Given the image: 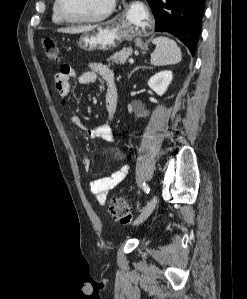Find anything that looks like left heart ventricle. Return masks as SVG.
Listing matches in <instances>:
<instances>
[{"mask_svg": "<svg viewBox=\"0 0 247 299\" xmlns=\"http://www.w3.org/2000/svg\"><path fill=\"white\" fill-rule=\"evenodd\" d=\"M111 0H64L65 11L73 17H93L107 9Z\"/></svg>", "mask_w": 247, "mask_h": 299, "instance_id": "b2bd125f", "label": "left heart ventricle"}]
</instances>
